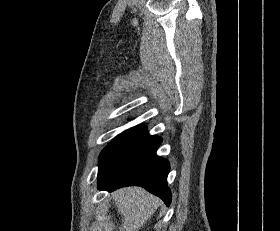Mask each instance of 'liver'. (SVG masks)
Wrapping results in <instances>:
<instances>
[{
	"instance_id": "6515ba94",
	"label": "liver",
	"mask_w": 280,
	"mask_h": 231,
	"mask_svg": "<svg viewBox=\"0 0 280 231\" xmlns=\"http://www.w3.org/2000/svg\"><path fill=\"white\" fill-rule=\"evenodd\" d=\"M113 195L118 213L124 215L123 223L119 227L122 231L124 229L138 231L156 211L158 203H161L158 197L151 195L142 187H123V189H117Z\"/></svg>"
}]
</instances>
